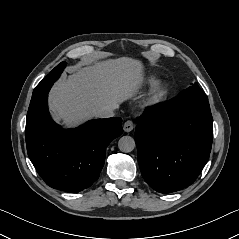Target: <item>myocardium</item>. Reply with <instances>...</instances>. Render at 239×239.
Wrapping results in <instances>:
<instances>
[{"label":"myocardium","instance_id":"1","mask_svg":"<svg viewBox=\"0 0 239 239\" xmlns=\"http://www.w3.org/2000/svg\"><path fill=\"white\" fill-rule=\"evenodd\" d=\"M169 94V86L165 81H156L144 99V105L155 108L161 105Z\"/></svg>","mask_w":239,"mask_h":239}]
</instances>
